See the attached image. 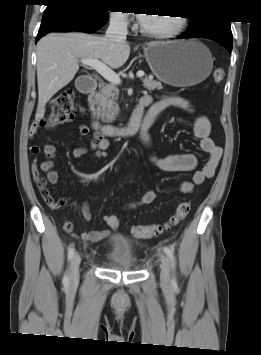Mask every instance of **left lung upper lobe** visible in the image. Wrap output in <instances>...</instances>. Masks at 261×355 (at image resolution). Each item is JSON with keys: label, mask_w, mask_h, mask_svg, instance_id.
I'll use <instances>...</instances> for the list:
<instances>
[{"label": "left lung upper lobe", "mask_w": 261, "mask_h": 355, "mask_svg": "<svg viewBox=\"0 0 261 355\" xmlns=\"http://www.w3.org/2000/svg\"><path fill=\"white\" fill-rule=\"evenodd\" d=\"M214 26L230 27V21L220 19L190 18V26L187 32L191 34H196L202 32L203 30L209 27Z\"/></svg>", "instance_id": "obj_1"}]
</instances>
